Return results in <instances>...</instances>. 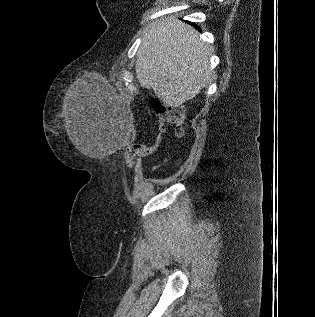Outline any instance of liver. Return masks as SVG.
Masks as SVG:
<instances>
[{"label": "liver", "instance_id": "6515ba94", "mask_svg": "<svg viewBox=\"0 0 315 317\" xmlns=\"http://www.w3.org/2000/svg\"><path fill=\"white\" fill-rule=\"evenodd\" d=\"M213 48L198 38L196 30L175 19L153 23L147 28L137 52L136 77L143 88L153 89L167 106L179 107L193 99L210 80L209 59ZM67 134L82 153L84 123L76 103L65 116Z\"/></svg>", "mask_w": 315, "mask_h": 317}]
</instances>
